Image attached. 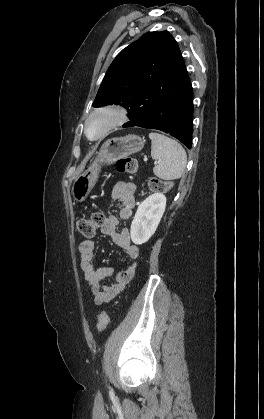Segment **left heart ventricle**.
I'll list each match as a JSON object with an SVG mask.
<instances>
[{
	"label": "left heart ventricle",
	"mask_w": 264,
	"mask_h": 419,
	"mask_svg": "<svg viewBox=\"0 0 264 419\" xmlns=\"http://www.w3.org/2000/svg\"><path fill=\"white\" fill-rule=\"evenodd\" d=\"M105 124V119L102 117H97L91 121L88 127V134L90 137H96L101 130L103 129Z\"/></svg>",
	"instance_id": "left-heart-ventricle-1"
}]
</instances>
